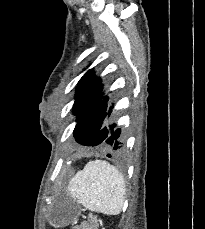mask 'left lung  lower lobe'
Instances as JSON below:
<instances>
[{
    "mask_svg": "<svg viewBox=\"0 0 205 229\" xmlns=\"http://www.w3.org/2000/svg\"><path fill=\"white\" fill-rule=\"evenodd\" d=\"M113 106L110 107L109 112H106V116L110 115ZM102 134L100 133L96 141L103 140V151L108 153V157H121L123 155V138L121 136V130L116 129V124H111L109 127L102 128ZM95 138V137H94Z\"/></svg>",
    "mask_w": 205,
    "mask_h": 229,
    "instance_id": "left-lung-lower-lobe-1",
    "label": "left lung lower lobe"
}]
</instances>
